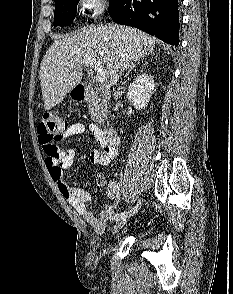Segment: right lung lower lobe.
Instances as JSON below:
<instances>
[{"mask_svg":"<svg viewBox=\"0 0 233 294\" xmlns=\"http://www.w3.org/2000/svg\"><path fill=\"white\" fill-rule=\"evenodd\" d=\"M178 7V0H115L109 14L118 24L136 27L178 46Z\"/></svg>","mask_w":233,"mask_h":294,"instance_id":"1","label":"right lung lower lobe"}]
</instances>
